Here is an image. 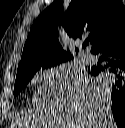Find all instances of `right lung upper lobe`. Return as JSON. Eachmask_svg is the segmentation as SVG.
Listing matches in <instances>:
<instances>
[{
	"mask_svg": "<svg viewBox=\"0 0 125 128\" xmlns=\"http://www.w3.org/2000/svg\"><path fill=\"white\" fill-rule=\"evenodd\" d=\"M59 24L74 39L88 35L85 42L92 45V50L125 26V6L120 0H71L64 13L63 0L55 1L32 25L17 71L44 60L72 58L57 39Z\"/></svg>",
	"mask_w": 125,
	"mask_h": 128,
	"instance_id": "obj_1",
	"label": "right lung upper lobe"
}]
</instances>
